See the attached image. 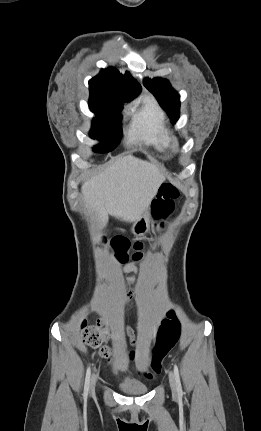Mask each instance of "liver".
I'll return each mask as SVG.
<instances>
[{
	"label": "liver",
	"mask_w": 261,
	"mask_h": 431,
	"mask_svg": "<svg viewBox=\"0 0 261 431\" xmlns=\"http://www.w3.org/2000/svg\"><path fill=\"white\" fill-rule=\"evenodd\" d=\"M163 181L155 165L129 155L86 181L81 190L86 207L96 213L100 227H104L108 214L135 222L147 211Z\"/></svg>",
	"instance_id": "1"
}]
</instances>
